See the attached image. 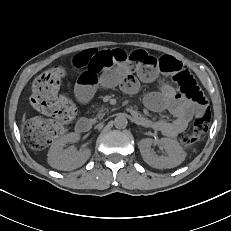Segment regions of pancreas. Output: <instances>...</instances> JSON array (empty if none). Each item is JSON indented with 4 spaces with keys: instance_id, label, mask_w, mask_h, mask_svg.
I'll return each mask as SVG.
<instances>
[{
    "instance_id": "obj_1",
    "label": "pancreas",
    "mask_w": 231,
    "mask_h": 231,
    "mask_svg": "<svg viewBox=\"0 0 231 231\" xmlns=\"http://www.w3.org/2000/svg\"><path fill=\"white\" fill-rule=\"evenodd\" d=\"M103 116V114H99L98 117L101 118Z\"/></svg>"
}]
</instances>
